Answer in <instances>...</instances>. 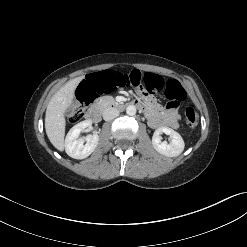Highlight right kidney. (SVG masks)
I'll list each match as a JSON object with an SVG mask.
<instances>
[{
    "mask_svg": "<svg viewBox=\"0 0 247 247\" xmlns=\"http://www.w3.org/2000/svg\"><path fill=\"white\" fill-rule=\"evenodd\" d=\"M89 126H91V121L85 120L73 126L68 132L65 139V150L70 157L74 159H84L95 150L99 141L97 134L88 135L85 139H78L80 133ZM85 141L87 142L84 145Z\"/></svg>",
    "mask_w": 247,
    "mask_h": 247,
    "instance_id": "right-kidney-1",
    "label": "right kidney"
}]
</instances>
